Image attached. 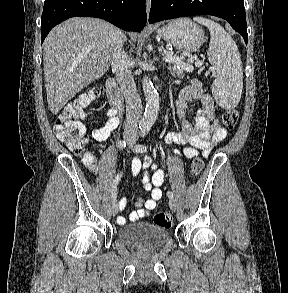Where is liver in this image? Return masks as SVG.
<instances>
[{"instance_id":"obj_1","label":"liver","mask_w":288,"mask_h":293,"mask_svg":"<svg viewBox=\"0 0 288 293\" xmlns=\"http://www.w3.org/2000/svg\"><path fill=\"white\" fill-rule=\"evenodd\" d=\"M122 32L96 18L74 17L54 27L44 41V79L53 114L109 69ZM97 55L92 58V55Z\"/></svg>"}]
</instances>
